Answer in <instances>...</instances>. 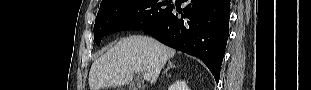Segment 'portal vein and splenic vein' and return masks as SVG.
<instances>
[{"label":"portal vein and splenic vein","instance_id":"18ae733b","mask_svg":"<svg viewBox=\"0 0 311 90\" xmlns=\"http://www.w3.org/2000/svg\"><path fill=\"white\" fill-rule=\"evenodd\" d=\"M143 78H144V80L149 81L151 77L149 74H144Z\"/></svg>","mask_w":311,"mask_h":90}]
</instances>
